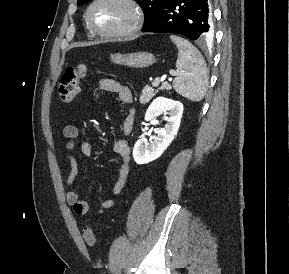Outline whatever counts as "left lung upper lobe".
I'll return each mask as SVG.
<instances>
[{
  "label": "left lung upper lobe",
  "mask_w": 289,
  "mask_h": 274,
  "mask_svg": "<svg viewBox=\"0 0 289 274\" xmlns=\"http://www.w3.org/2000/svg\"><path fill=\"white\" fill-rule=\"evenodd\" d=\"M90 0H78V6ZM142 7L145 15V25L150 23L160 12L165 0H136Z\"/></svg>",
  "instance_id": "left-lung-upper-lobe-1"
}]
</instances>
